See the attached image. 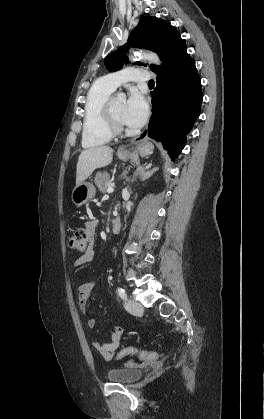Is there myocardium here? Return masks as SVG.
Wrapping results in <instances>:
<instances>
[{"mask_svg": "<svg viewBox=\"0 0 264 419\" xmlns=\"http://www.w3.org/2000/svg\"><path fill=\"white\" fill-rule=\"evenodd\" d=\"M112 102L113 99L109 98L105 106V113L112 134L119 135L125 132V125L123 121L114 114L112 109Z\"/></svg>", "mask_w": 264, "mask_h": 419, "instance_id": "1", "label": "myocardium"}]
</instances>
